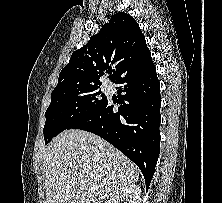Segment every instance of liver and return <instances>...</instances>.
<instances>
[{
    "instance_id": "1",
    "label": "liver",
    "mask_w": 222,
    "mask_h": 203,
    "mask_svg": "<svg viewBox=\"0 0 222 203\" xmlns=\"http://www.w3.org/2000/svg\"><path fill=\"white\" fill-rule=\"evenodd\" d=\"M42 169L46 203H103L140 175L110 143L78 129L65 130L49 143Z\"/></svg>"
}]
</instances>
